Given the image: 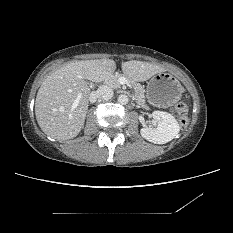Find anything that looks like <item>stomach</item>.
<instances>
[{"label": "stomach", "instance_id": "obj_1", "mask_svg": "<svg viewBox=\"0 0 233 233\" xmlns=\"http://www.w3.org/2000/svg\"><path fill=\"white\" fill-rule=\"evenodd\" d=\"M182 95V86L170 73L160 72L152 76L147 85L148 100L161 107L175 104Z\"/></svg>", "mask_w": 233, "mask_h": 233}]
</instances>
